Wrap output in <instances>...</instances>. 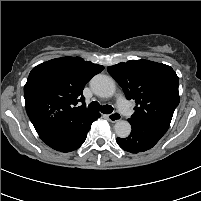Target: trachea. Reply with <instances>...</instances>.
Segmentation results:
<instances>
[{
  "label": "trachea",
  "mask_w": 201,
  "mask_h": 201,
  "mask_svg": "<svg viewBox=\"0 0 201 201\" xmlns=\"http://www.w3.org/2000/svg\"><path fill=\"white\" fill-rule=\"evenodd\" d=\"M88 108L93 111H101L104 114H110L113 112V107L111 105L101 106L97 101H92Z\"/></svg>",
  "instance_id": "1"
}]
</instances>
